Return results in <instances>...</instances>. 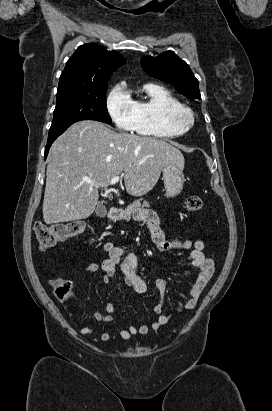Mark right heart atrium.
Wrapping results in <instances>:
<instances>
[{
  "label": "right heart atrium",
  "mask_w": 272,
  "mask_h": 411,
  "mask_svg": "<svg viewBox=\"0 0 272 411\" xmlns=\"http://www.w3.org/2000/svg\"><path fill=\"white\" fill-rule=\"evenodd\" d=\"M106 111L116 126L121 131H131L134 127L135 112L133 100L123 85H115L106 97Z\"/></svg>",
  "instance_id": "obj_1"
}]
</instances>
